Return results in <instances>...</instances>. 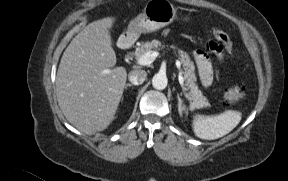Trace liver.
I'll return each mask as SVG.
<instances>
[{
  "instance_id": "1",
  "label": "liver",
  "mask_w": 288,
  "mask_h": 181,
  "mask_svg": "<svg viewBox=\"0 0 288 181\" xmlns=\"http://www.w3.org/2000/svg\"><path fill=\"white\" fill-rule=\"evenodd\" d=\"M107 17L88 24L65 49L56 76V96L66 119L92 135L105 130L114 119L127 79L116 67ZM117 45L122 47L119 42Z\"/></svg>"
}]
</instances>
